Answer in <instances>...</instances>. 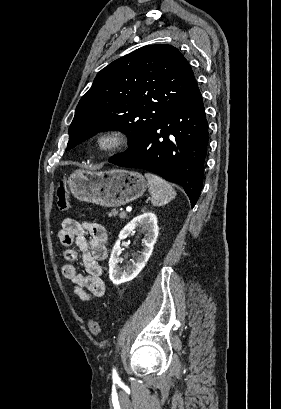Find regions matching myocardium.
<instances>
[{
  "instance_id": "obj_1",
  "label": "myocardium",
  "mask_w": 281,
  "mask_h": 409,
  "mask_svg": "<svg viewBox=\"0 0 281 409\" xmlns=\"http://www.w3.org/2000/svg\"><path fill=\"white\" fill-rule=\"evenodd\" d=\"M126 143L125 134L118 129H109L98 134L97 149L103 153H112L121 149Z\"/></svg>"
}]
</instances>
